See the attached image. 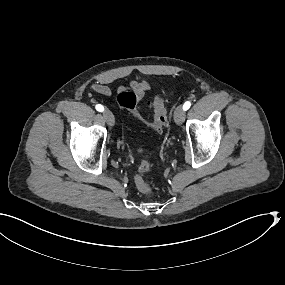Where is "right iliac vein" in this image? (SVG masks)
<instances>
[{"instance_id": "obj_1", "label": "right iliac vein", "mask_w": 285, "mask_h": 285, "mask_svg": "<svg viewBox=\"0 0 285 285\" xmlns=\"http://www.w3.org/2000/svg\"><path fill=\"white\" fill-rule=\"evenodd\" d=\"M103 116H104L105 120L107 121V123H108L110 126H113V125H114L115 119H114L113 114H112L109 110H104V111H103Z\"/></svg>"}]
</instances>
